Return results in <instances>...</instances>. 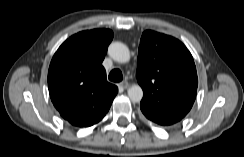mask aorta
I'll return each mask as SVG.
<instances>
[{"label":"aorta","instance_id":"762f6f07","mask_svg":"<svg viewBox=\"0 0 244 157\" xmlns=\"http://www.w3.org/2000/svg\"><path fill=\"white\" fill-rule=\"evenodd\" d=\"M109 56L119 63H127L130 60V52L128 47L121 42H113L108 47ZM128 96L133 102H140L143 97V90L138 85H132L128 89Z\"/></svg>","mask_w":244,"mask_h":157}]
</instances>
